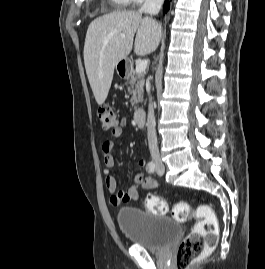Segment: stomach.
<instances>
[{
  "label": "stomach",
  "instance_id": "0dacf381",
  "mask_svg": "<svg viewBox=\"0 0 265 269\" xmlns=\"http://www.w3.org/2000/svg\"><path fill=\"white\" fill-rule=\"evenodd\" d=\"M129 60L128 59H123L121 61H119L116 65V68H117V71H118V74L122 76V74L124 75V71L125 68H128L129 67ZM118 67H120V71L118 70Z\"/></svg>",
  "mask_w": 265,
  "mask_h": 269
}]
</instances>
